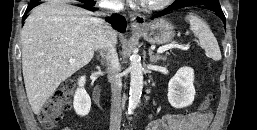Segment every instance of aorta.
Instances as JSON below:
<instances>
[{
  "instance_id": "1",
  "label": "aorta",
  "mask_w": 257,
  "mask_h": 130,
  "mask_svg": "<svg viewBox=\"0 0 257 130\" xmlns=\"http://www.w3.org/2000/svg\"><path fill=\"white\" fill-rule=\"evenodd\" d=\"M130 91L128 112L131 113L138 105L143 89V67L137 54L130 56Z\"/></svg>"
}]
</instances>
